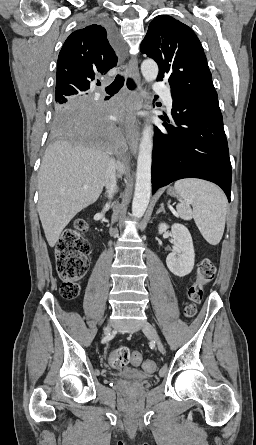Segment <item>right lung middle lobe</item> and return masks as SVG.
Segmentation results:
<instances>
[{"label": "right lung middle lobe", "instance_id": "dd1d6c3e", "mask_svg": "<svg viewBox=\"0 0 256 445\" xmlns=\"http://www.w3.org/2000/svg\"><path fill=\"white\" fill-rule=\"evenodd\" d=\"M89 99L87 97V93H81L76 96H71L69 98H62L59 99L58 97H55V105H54V127H53V133L56 135H64L68 137V132L66 130L59 127L57 120L60 116H62L68 109L75 106V104L80 100Z\"/></svg>", "mask_w": 256, "mask_h": 445}]
</instances>
